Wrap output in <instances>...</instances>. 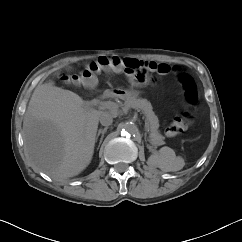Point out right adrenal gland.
<instances>
[{
    "instance_id": "obj_1",
    "label": "right adrenal gland",
    "mask_w": 242,
    "mask_h": 242,
    "mask_svg": "<svg viewBox=\"0 0 242 242\" xmlns=\"http://www.w3.org/2000/svg\"><path fill=\"white\" fill-rule=\"evenodd\" d=\"M107 129H108V127H105L104 129H99V130H98V133H97V135H96L95 141L97 142L99 136L101 135V140H100V142H99V146H100V144L102 143V140H103L104 134H105V132L107 131Z\"/></svg>"
}]
</instances>
